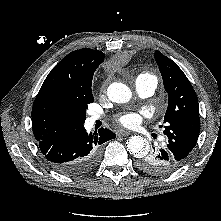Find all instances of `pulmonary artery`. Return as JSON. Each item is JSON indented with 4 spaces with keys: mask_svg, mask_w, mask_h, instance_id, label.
Returning <instances> with one entry per match:
<instances>
[{
    "mask_svg": "<svg viewBox=\"0 0 221 221\" xmlns=\"http://www.w3.org/2000/svg\"><path fill=\"white\" fill-rule=\"evenodd\" d=\"M157 88V81L151 77H138L135 82V89L137 94L142 98L150 97L154 94ZM100 118L98 114H91L89 122L92 124Z\"/></svg>",
    "mask_w": 221,
    "mask_h": 221,
    "instance_id": "e3ab8cb5",
    "label": "pulmonary artery"
}]
</instances>
